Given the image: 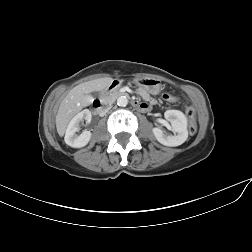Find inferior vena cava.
Masks as SVG:
<instances>
[{"mask_svg": "<svg viewBox=\"0 0 252 252\" xmlns=\"http://www.w3.org/2000/svg\"><path fill=\"white\" fill-rule=\"evenodd\" d=\"M111 108V106H108L107 108H105L104 110H103V112H102V115H105L107 112H108V110Z\"/></svg>", "mask_w": 252, "mask_h": 252, "instance_id": "602c4592", "label": "inferior vena cava"}]
</instances>
